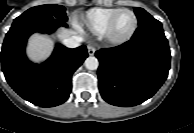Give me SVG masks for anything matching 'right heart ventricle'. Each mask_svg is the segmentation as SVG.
<instances>
[{
  "instance_id": "1",
  "label": "right heart ventricle",
  "mask_w": 194,
  "mask_h": 133,
  "mask_svg": "<svg viewBox=\"0 0 194 133\" xmlns=\"http://www.w3.org/2000/svg\"><path fill=\"white\" fill-rule=\"evenodd\" d=\"M119 9L116 7L92 8L81 17L80 21L92 33L101 35L109 18Z\"/></svg>"
}]
</instances>
